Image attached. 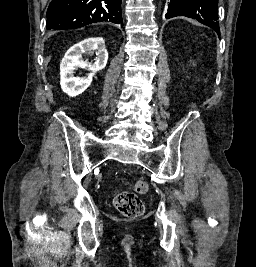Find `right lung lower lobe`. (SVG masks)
<instances>
[{
	"instance_id": "1",
	"label": "right lung lower lobe",
	"mask_w": 256,
	"mask_h": 267,
	"mask_svg": "<svg viewBox=\"0 0 256 267\" xmlns=\"http://www.w3.org/2000/svg\"><path fill=\"white\" fill-rule=\"evenodd\" d=\"M109 21L121 24V0H52L47 11L48 30H66Z\"/></svg>"
}]
</instances>
